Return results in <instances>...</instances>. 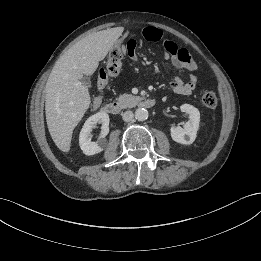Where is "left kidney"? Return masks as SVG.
<instances>
[{
    "label": "left kidney",
    "instance_id": "1",
    "mask_svg": "<svg viewBox=\"0 0 261 261\" xmlns=\"http://www.w3.org/2000/svg\"><path fill=\"white\" fill-rule=\"evenodd\" d=\"M180 109L182 112L189 114V120L185 123L184 128L179 126L171 127V137L177 143L190 145L196 139L200 123V112L190 104H183L180 106Z\"/></svg>",
    "mask_w": 261,
    "mask_h": 261
}]
</instances>
